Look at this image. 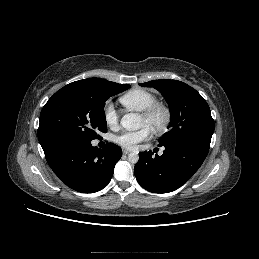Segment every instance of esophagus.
<instances>
[{
  "label": "esophagus",
  "instance_id": "esophagus-1",
  "mask_svg": "<svg viewBox=\"0 0 259 259\" xmlns=\"http://www.w3.org/2000/svg\"><path fill=\"white\" fill-rule=\"evenodd\" d=\"M129 153H130V151H128V150H126V149H123V154L127 155V154H129Z\"/></svg>",
  "mask_w": 259,
  "mask_h": 259
}]
</instances>
